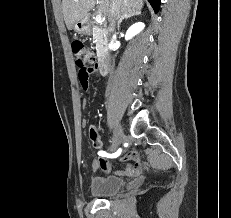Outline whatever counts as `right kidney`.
Listing matches in <instances>:
<instances>
[{"instance_id":"right-kidney-1","label":"right kidney","mask_w":231,"mask_h":218,"mask_svg":"<svg viewBox=\"0 0 231 218\" xmlns=\"http://www.w3.org/2000/svg\"><path fill=\"white\" fill-rule=\"evenodd\" d=\"M145 27V24L142 22H137L133 24L126 32L125 39L129 40L136 34H138L140 31H142Z\"/></svg>"}]
</instances>
